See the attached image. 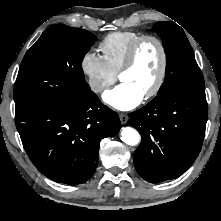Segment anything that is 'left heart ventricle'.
Wrapping results in <instances>:
<instances>
[{"mask_svg": "<svg viewBox=\"0 0 221 221\" xmlns=\"http://www.w3.org/2000/svg\"><path fill=\"white\" fill-rule=\"evenodd\" d=\"M160 61V51L157 44L147 41L141 46L134 66L124 72L120 76V80L134 85L145 95L157 79Z\"/></svg>", "mask_w": 221, "mask_h": 221, "instance_id": "b2bd125f", "label": "left heart ventricle"}]
</instances>
